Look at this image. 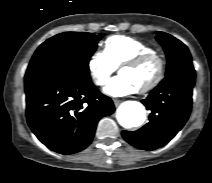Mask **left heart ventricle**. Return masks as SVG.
<instances>
[{"label":"left heart ventricle","instance_id":"obj_1","mask_svg":"<svg viewBox=\"0 0 212 183\" xmlns=\"http://www.w3.org/2000/svg\"><path fill=\"white\" fill-rule=\"evenodd\" d=\"M158 72L156 61H149L136 68H127L120 71V75L127 78L137 89L148 85Z\"/></svg>","mask_w":212,"mask_h":183}]
</instances>
